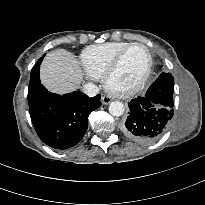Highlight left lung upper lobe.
Instances as JSON below:
<instances>
[{
  "mask_svg": "<svg viewBox=\"0 0 205 205\" xmlns=\"http://www.w3.org/2000/svg\"><path fill=\"white\" fill-rule=\"evenodd\" d=\"M149 88L165 89L168 93H170V98L172 99L174 91V79L170 73H162Z\"/></svg>",
  "mask_w": 205,
  "mask_h": 205,
  "instance_id": "5c2ea615",
  "label": "left lung upper lobe"
}]
</instances>
